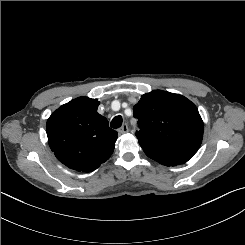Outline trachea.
I'll return each mask as SVG.
<instances>
[{"label":"trachea","mask_w":245,"mask_h":245,"mask_svg":"<svg viewBox=\"0 0 245 245\" xmlns=\"http://www.w3.org/2000/svg\"><path fill=\"white\" fill-rule=\"evenodd\" d=\"M122 122H123V119H122L121 115H118L112 119L110 125L112 128L117 129V128L121 127Z\"/></svg>","instance_id":"trachea-1"}]
</instances>
